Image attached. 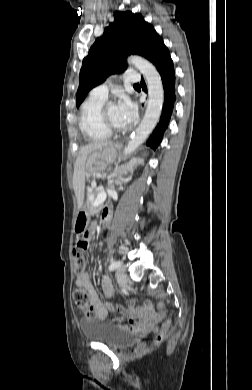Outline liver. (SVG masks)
Instances as JSON below:
<instances>
[{
  "label": "liver",
  "mask_w": 252,
  "mask_h": 390,
  "mask_svg": "<svg viewBox=\"0 0 252 390\" xmlns=\"http://www.w3.org/2000/svg\"><path fill=\"white\" fill-rule=\"evenodd\" d=\"M109 145L111 144L108 142H93L80 149L78 157L75 162L74 174H73V188L79 204H82L83 197H84L86 160L88 155L95 150H100Z\"/></svg>",
  "instance_id": "obj_1"
}]
</instances>
